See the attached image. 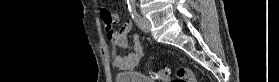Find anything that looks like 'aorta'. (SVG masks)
<instances>
[{
	"instance_id": "1",
	"label": "aorta",
	"mask_w": 279,
	"mask_h": 82,
	"mask_svg": "<svg viewBox=\"0 0 279 82\" xmlns=\"http://www.w3.org/2000/svg\"><path fill=\"white\" fill-rule=\"evenodd\" d=\"M128 4L132 7L135 5V0H128Z\"/></svg>"
}]
</instances>
